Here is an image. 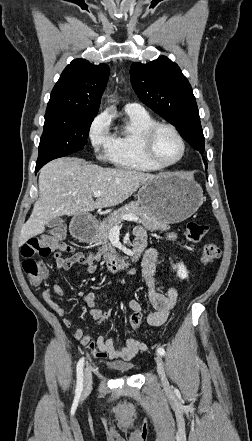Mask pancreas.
Wrapping results in <instances>:
<instances>
[{"mask_svg": "<svg viewBox=\"0 0 252 441\" xmlns=\"http://www.w3.org/2000/svg\"><path fill=\"white\" fill-rule=\"evenodd\" d=\"M125 214L136 215L138 217V222L141 223L147 230L163 232L170 229V225L168 223L154 217H149L145 209L141 207L138 202H132L111 213L98 226L95 236L97 245L101 246L98 250V259H100L101 256H103V259L106 262H113L116 259L117 254L109 242V234L113 226L119 225L123 221L122 217Z\"/></svg>", "mask_w": 252, "mask_h": 441, "instance_id": "pancreas-1", "label": "pancreas"}]
</instances>
